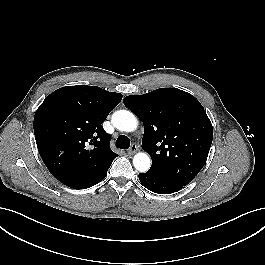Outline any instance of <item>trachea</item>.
Instances as JSON below:
<instances>
[{
	"label": "trachea",
	"mask_w": 265,
	"mask_h": 265,
	"mask_svg": "<svg viewBox=\"0 0 265 265\" xmlns=\"http://www.w3.org/2000/svg\"><path fill=\"white\" fill-rule=\"evenodd\" d=\"M116 146L120 149H128L130 147V140L127 136L120 135L116 140Z\"/></svg>",
	"instance_id": "3493384b"
}]
</instances>
